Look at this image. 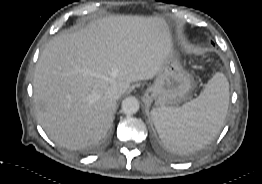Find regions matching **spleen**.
<instances>
[{"label":"spleen","mask_w":262,"mask_h":184,"mask_svg":"<svg viewBox=\"0 0 262 184\" xmlns=\"http://www.w3.org/2000/svg\"><path fill=\"white\" fill-rule=\"evenodd\" d=\"M229 106V82L217 72L200 95L181 107H157L151 116L162 143L178 153L196 151L221 131Z\"/></svg>","instance_id":"3e777b00"}]
</instances>
